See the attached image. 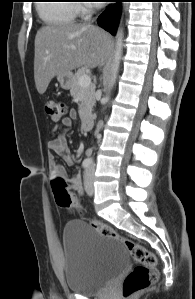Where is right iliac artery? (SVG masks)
<instances>
[{
    "label": "right iliac artery",
    "instance_id": "obj_1",
    "mask_svg": "<svg viewBox=\"0 0 195 299\" xmlns=\"http://www.w3.org/2000/svg\"><path fill=\"white\" fill-rule=\"evenodd\" d=\"M91 164V160L90 159H84L83 162H82V167L84 169H87Z\"/></svg>",
    "mask_w": 195,
    "mask_h": 299
}]
</instances>
